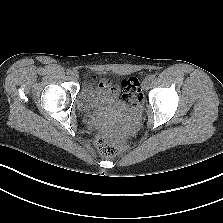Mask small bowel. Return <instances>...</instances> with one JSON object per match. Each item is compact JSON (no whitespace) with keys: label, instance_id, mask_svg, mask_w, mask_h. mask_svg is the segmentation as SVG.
Wrapping results in <instances>:
<instances>
[{"label":"small bowel","instance_id":"obj_1","mask_svg":"<svg viewBox=\"0 0 223 223\" xmlns=\"http://www.w3.org/2000/svg\"><path fill=\"white\" fill-rule=\"evenodd\" d=\"M100 85H101L102 87H105V83H100ZM110 92L113 93V94H116V93H117V90H116L115 88H111V89H110Z\"/></svg>","mask_w":223,"mask_h":223}]
</instances>
